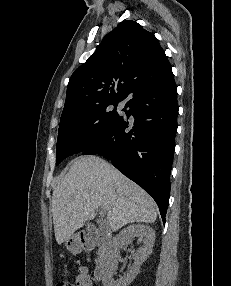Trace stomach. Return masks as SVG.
I'll use <instances>...</instances> for the list:
<instances>
[{
    "label": "stomach",
    "instance_id": "0dacf381",
    "mask_svg": "<svg viewBox=\"0 0 231 286\" xmlns=\"http://www.w3.org/2000/svg\"><path fill=\"white\" fill-rule=\"evenodd\" d=\"M65 245L71 253H78L82 248L79 238L74 235L65 241Z\"/></svg>",
    "mask_w": 231,
    "mask_h": 286
}]
</instances>
